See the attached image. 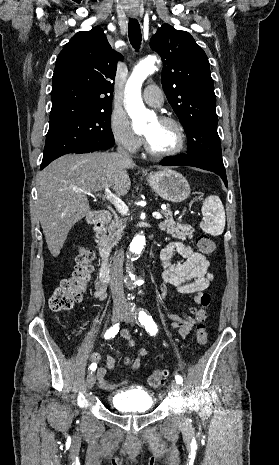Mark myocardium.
<instances>
[{"mask_svg": "<svg viewBox=\"0 0 279 465\" xmlns=\"http://www.w3.org/2000/svg\"><path fill=\"white\" fill-rule=\"evenodd\" d=\"M157 120L161 123L171 124L176 128L178 132V144L174 149L170 151L158 152L151 147L147 137L143 136L144 148L146 152L150 156L154 158H159V159L170 158V157H174L180 154L186 145V133H185V129L183 125L181 124V122L171 116H160Z\"/></svg>", "mask_w": 279, "mask_h": 465, "instance_id": "1", "label": "myocardium"}]
</instances>
